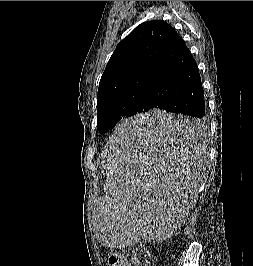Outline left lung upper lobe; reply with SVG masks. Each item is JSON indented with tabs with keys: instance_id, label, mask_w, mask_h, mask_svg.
Listing matches in <instances>:
<instances>
[{
	"instance_id": "obj_1",
	"label": "left lung upper lobe",
	"mask_w": 253,
	"mask_h": 266,
	"mask_svg": "<svg viewBox=\"0 0 253 266\" xmlns=\"http://www.w3.org/2000/svg\"><path fill=\"white\" fill-rule=\"evenodd\" d=\"M175 33L162 20L148 21L117 45L98 87L97 129L101 134L121 119L142 113L153 73Z\"/></svg>"
}]
</instances>
